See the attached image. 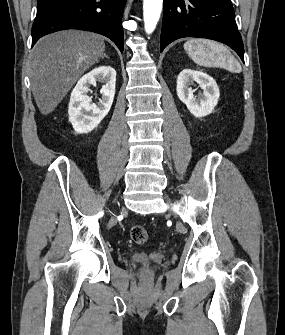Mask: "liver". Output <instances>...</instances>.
<instances>
[{
    "label": "liver",
    "instance_id": "6515ba94",
    "mask_svg": "<svg viewBox=\"0 0 285 335\" xmlns=\"http://www.w3.org/2000/svg\"><path fill=\"white\" fill-rule=\"evenodd\" d=\"M105 52L103 36L80 30L41 38L30 54V84L39 112L51 114Z\"/></svg>",
    "mask_w": 285,
    "mask_h": 335
}]
</instances>
